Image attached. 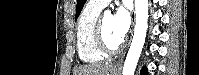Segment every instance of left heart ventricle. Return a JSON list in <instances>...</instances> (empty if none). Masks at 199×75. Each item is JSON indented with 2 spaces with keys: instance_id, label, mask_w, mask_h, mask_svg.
I'll list each match as a JSON object with an SVG mask.
<instances>
[{
  "instance_id": "obj_1",
  "label": "left heart ventricle",
  "mask_w": 199,
  "mask_h": 75,
  "mask_svg": "<svg viewBox=\"0 0 199 75\" xmlns=\"http://www.w3.org/2000/svg\"><path fill=\"white\" fill-rule=\"evenodd\" d=\"M112 24H113L112 16H104L103 17L104 39L109 46L114 47V46L118 45L121 42V40L115 34Z\"/></svg>"
}]
</instances>
